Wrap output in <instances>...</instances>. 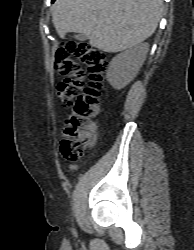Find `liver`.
Returning <instances> with one entry per match:
<instances>
[{
    "mask_svg": "<svg viewBox=\"0 0 194 250\" xmlns=\"http://www.w3.org/2000/svg\"><path fill=\"white\" fill-rule=\"evenodd\" d=\"M162 0H56L52 22L61 38L88 37L91 46L116 53L143 42L156 30Z\"/></svg>",
    "mask_w": 194,
    "mask_h": 250,
    "instance_id": "liver-1",
    "label": "liver"
}]
</instances>
